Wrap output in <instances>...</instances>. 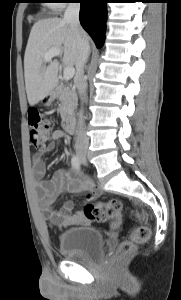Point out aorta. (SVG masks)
<instances>
[{
    "label": "aorta",
    "mask_w": 181,
    "mask_h": 300,
    "mask_svg": "<svg viewBox=\"0 0 181 300\" xmlns=\"http://www.w3.org/2000/svg\"><path fill=\"white\" fill-rule=\"evenodd\" d=\"M78 117H79L78 124L81 125V123H82V112H80V113L78 114Z\"/></svg>",
    "instance_id": "obj_1"
}]
</instances>
